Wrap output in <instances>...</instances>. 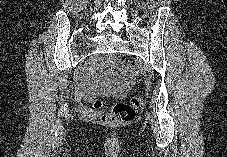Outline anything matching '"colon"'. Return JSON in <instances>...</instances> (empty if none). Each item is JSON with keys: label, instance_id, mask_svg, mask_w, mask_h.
I'll return each mask as SVG.
<instances>
[{"label": "colon", "instance_id": "5ec220e1", "mask_svg": "<svg viewBox=\"0 0 227 157\" xmlns=\"http://www.w3.org/2000/svg\"><path fill=\"white\" fill-rule=\"evenodd\" d=\"M112 64V63H111ZM143 97L133 96L130 100V104L116 103L112 106L111 110L102 115L101 120L108 124H117L121 122H128L135 117V108L142 106ZM92 105L98 109L102 106V101L96 99L93 100Z\"/></svg>", "mask_w": 227, "mask_h": 157}]
</instances>
